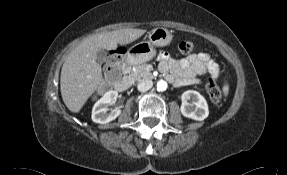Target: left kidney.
<instances>
[{"label":"left kidney","instance_id":"left-kidney-1","mask_svg":"<svg viewBox=\"0 0 287 175\" xmlns=\"http://www.w3.org/2000/svg\"><path fill=\"white\" fill-rule=\"evenodd\" d=\"M188 100H192V103H189ZM180 110L183 116L197 121H203L209 115L207 101L194 90H187L182 94Z\"/></svg>","mask_w":287,"mask_h":175}]
</instances>
